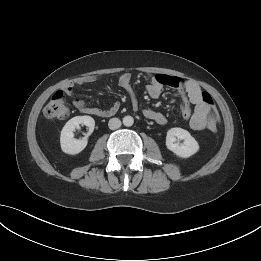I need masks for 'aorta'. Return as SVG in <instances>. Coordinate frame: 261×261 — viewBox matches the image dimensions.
Listing matches in <instances>:
<instances>
[{"label": "aorta", "instance_id": "762f6f07", "mask_svg": "<svg viewBox=\"0 0 261 261\" xmlns=\"http://www.w3.org/2000/svg\"><path fill=\"white\" fill-rule=\"evenodd\" d=\"M133 123H134V119H133L132 116L127 115V116H125V117L123 118V124H124L125 126H127V127L132 126Z\"/></svg>", "mask_w": 261, "mask_h": 261}]
</instances>
